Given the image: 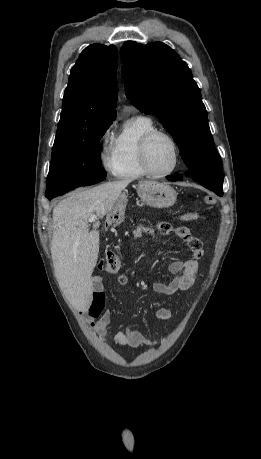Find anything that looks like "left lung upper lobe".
Instances as JSON below:
<instances>
[{"mask_svg":"<svg viewBox=\"0 0 261 459\" xmlns=\"http://www.w3.org/2000/svg\"><path fill=\"white\" fill-rule=\"evenodd\" d=\"M120 55L127 98L141 112L155 115L173 136L189 167L186 175L223 178L201 92L187 63L161 42L127 41Z\"/></svg>","mask_w":261,"mask_h":459,"instance_id":"obj_1","label":"left lung upper lobe"}]
</instances>
